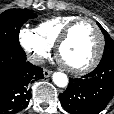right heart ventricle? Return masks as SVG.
Listing matches in <instances>:
<instances>
[{"mask_svg":"<svg viewBox=\"0 0 114 114\" xmlns=\"http://www.w3.org/2000/svg\"><path fill=\"white\" fill-rule=\"evenodd\" d=\"M77 18L79 16H56L40 22L33 31L41 41L51 48L56 44L66 26Z\"/></svg>","mask_w":114,"mask_h":114,"instance_id":"1","label":"right heart ventricle"}]
</instances>
